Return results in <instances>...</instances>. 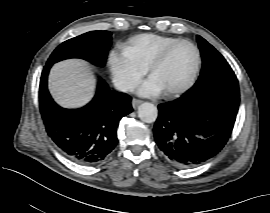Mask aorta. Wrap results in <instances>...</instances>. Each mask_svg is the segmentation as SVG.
<instances>
[{
    "instance_id": "obj_1",
    "label": "aorta",
    "mask_w": 270,
    "mask_h": 213,
    "mask_svg": "<svg viewBox=\"0 0 270 213\" xmlns=\"http://www.w3.org/2000/svg\"><path fill=\"white\" fill-rule=\"evenodd\" d=\"M158 116L157 107L149 102H144L138 107V117L145 123H153Z\"/></svg>"
}]
</instances>
